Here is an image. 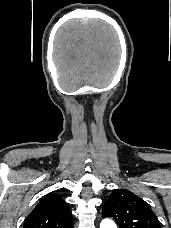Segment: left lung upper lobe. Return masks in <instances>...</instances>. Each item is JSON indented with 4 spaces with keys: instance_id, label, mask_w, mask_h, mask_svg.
Segmentation results:
<instances>
[{
    "instance_id": "5c2ea615",
    "label": "left lung upper lobe",
    "mask_w": 171,
    "mask_h": 228,
    "mask_svg": "<svg viewBox=\"0 0 171 228\" xmlns=\"http://www.w3.org/2000/svg\"><path fill=\"white\" fill-rule=\"evenodd\" d=\"M102 217H112L122 228H161L148 204L126 189L111 193L104 204Z\"/></svg>"
}]
</instances>
